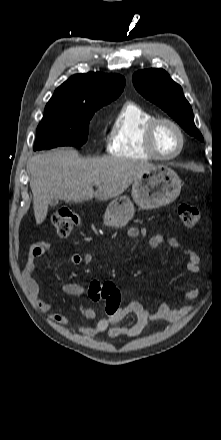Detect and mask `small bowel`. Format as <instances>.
Here are the masks:
<instances>
[{
    "label": "small bowel",
    "mask_w": 221,
    "mask_h": 440,
    "mask_svg": "<svg viewBox=\"0 0 221 440\" xmlns=\"http://www.w3.org/2000/svg\"><path fill=\"white\" fill-rule=\"evenodd\" d=\"M129 238H137L139 236L146 237V228L130 227L127 231ZM149 244L152 248H158L163 244L181 250L187 257L188 261L185 264L186 269L198 274L200 273L199 262L200 258L195 252L185 248L183 244L175 237H165L157 234L150 238ZM55 245L47 241H37L33 243L29 249L26 262L22 271V280L28 291L30 297L38 306V308L44 312H50L53 305L50 302H45L39 299V285L33 278L36 271V261L42 257L47 251L54 249ZM95 257L93 254H73L71 256V262L75 266H83L91 264ZM90 283L87 285L80 283H63L59 286V291L63 294L74 297H87ZM198 289H190L180 293L175 300V306L171 307L166 303H162L155 311L147 310L143 304L137 300H131L119 306V315H112L111 321H104L103 317L97 318L96 313L85 307L83 304L80 306L81 314L92 322L89 325L79 328V333L87 336L94 337L103 333H107L111 338H117L120 336H126L127 338H134L138 336L148 323L152 321H166L175 323L180 321L184 316L189 314L193 310L192 305L181 306L180 303L183 300H194L199 297ZM106 309V308H105ZM135 315L136 319L133 323L128 325H120V322L128 315ZM53 322L59 325H65L69 323V318L63 313L55 312L50 315Z\"/></svg>",
    "instance_id": "small-bowel-1"
}]
</instances>
